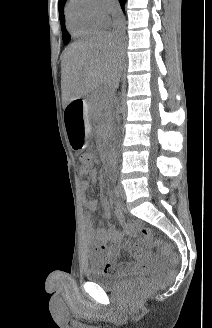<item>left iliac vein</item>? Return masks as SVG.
I'll list each match as a JSON object with an SVG mask.
<instances>
[{
	"label": "left iliac vein",
	"instance_id": "obj_1",
	"mask_svg": "<svg viewBox=\"0 0 212 328\" xmlns=\"http://www.w3.org/2000/svg\"><path fill=\"white\" fill-rule=\"evenodd\" d=\"M119 190H120L121 196L123 198H125V192H124L123 186L121 184H119Z\"/></svg>",
	"mask_w": 212,
	"mask_h": 328
}]
</instances>
